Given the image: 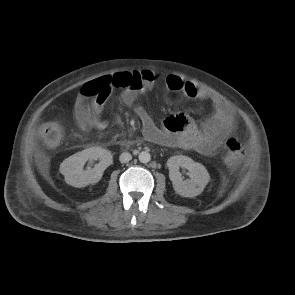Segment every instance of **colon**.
<instances>
[{
  "mask_svg": "<svg viewBox=\"0 0 295 295\" xmlns=\"http://www.w3.org/2000/svg\"><path fill=\"white\" fill-rule=\"evenodd\" d=\"M140 84L138 76L132 73H117L113 76H108L99 81L98 86L111 91L113 88L126 89L129 87H136ZM82 95L79 90L76 98ZM40 136L43 143L49 148L57 147L63 137L62 128L54 122L44 123L40 128ZM245 157V148L240 140L237 138H230L226 142L225 159L231 164H238Z\"/></svg>",
  "mask_w": 295,
  "mask_h": 295,
  "instance_id": "obj_1",
  "label": "colon"
}]
</instances>
